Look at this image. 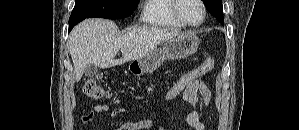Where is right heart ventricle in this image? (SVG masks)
Returning a JSON list of instances; mask_svg holds the SVG:
<instances>
[{
	"label": "right heart ventricle",
	"mask_w": 299,
	"mask_h": 130,
	"mask_svg": "<svg viewBox=\"0 0 299 130\" xmlns=\"http://www.w3.org/2000/svg\"><path fill=\"white\" fill-rule=\"evenodd\" d=\"M142 18L147 25L153 27L171 29L183 27L173 14L172 0H147Z\"/></svg>",
	"instance_id": "right-heart-ventricle-1"
}]
</instances>
